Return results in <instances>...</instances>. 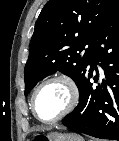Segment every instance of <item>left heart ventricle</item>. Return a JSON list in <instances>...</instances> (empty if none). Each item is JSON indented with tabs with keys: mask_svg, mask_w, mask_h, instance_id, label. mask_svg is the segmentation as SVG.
<instances>
[{
	"mask_svg": "<svg viewBox=\"0 0 119 141\" xmlns=\"http://www.w3.org/2000/svg\"><path fill=\"white\" fill-rule=\"evenodd\" d=\"M67 101L68 91L66 87L62 83H50L37 94L36 112L41 119H52L64 109Z\"/></svg>",
	"mask_w": 119,
	"mask_h": 141,
	"instance_id": "left-heart-ventricle-1",
	"label": "left heart ventricle"
}]
</instances>
